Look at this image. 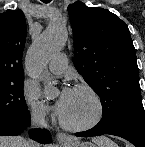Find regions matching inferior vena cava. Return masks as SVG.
<instances>
[{
	"instance_id": "obj_1",
	"label": "inferior vena cava",
	"mask_w": 145,
	"mask_h": 147,
	"mask_svg": "<svg viewBox=\"0 0 145 147\" xmlns=\"http://www.w3.org/2000/svg\"><path fill=\"white\" fill-rule=\"evenodd\" d=\"M32 127H45V114L44 112H37L32 114L31 118ZM29 147H39L35 142H28Z\"/></svg>"
}]
</instances>
